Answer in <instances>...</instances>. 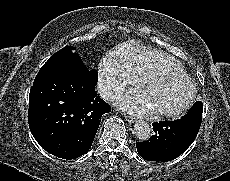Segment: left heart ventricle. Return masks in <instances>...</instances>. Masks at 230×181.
<instances>
[{
    "label": "left heart ventricle",
    "instance_id": "left-heart-ventricle-1",
    "mask_svg": "<svg viewBox=\"0 0 230 181\" xmlns=\"http://www.w3.org/2000/svg\"><path fill=\"white\" fill-rule=\"evenodd\" d=\"M190 93L186 80L159 78L147 84L143 94L155 110H174L184 104Z\"/></svg>",
    "mask_w": 230,
    "mask_h": 181
}]
</instances>
